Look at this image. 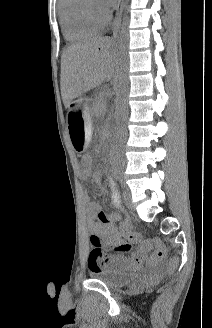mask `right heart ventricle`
Listing matches in <instances>:
<instances>
[{
	"instance_id": "right-heart-ventricle-1",
	"label": "right heart ventricle",
	"mask_w": 212,
	"mask_h": 328,
	"mask_svg": "<svg viewBox=\"0 0 212 328\" xmlns=\"http://www.w3.org/2000/svg\"><path fill=\"white\" fill-rule=\"evenodd\" d=\"M60 23L69 41H81L99 34L105 21L98 18L90 0H59Z\"/></svg>"
}]
</instances>
